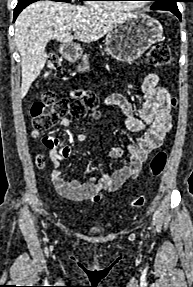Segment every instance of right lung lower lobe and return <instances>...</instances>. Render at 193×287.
<instances>
[{"label": "right lung lower lobe", "instance_id": "obj_1", "mask_svg": "<svg viewBox=\"0 0 193 287\" xmlns=\"http://www.w3.org/2000/svg\"><path fill=\"white\" fill-rule=\"evenodd\" d=\"M38 0H18V4L14 9V21L17 18V16L19 15V13L25 8L27 7L29 4L36 2Z\"/></svg>", "mask_w": 193, "mask_h": 287}]
</instances>
